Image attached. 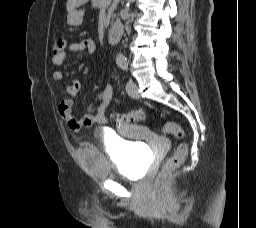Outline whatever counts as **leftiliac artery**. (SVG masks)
<instances>
[{"mask_svg":"<svg viewBox=\"0 0 256 228\" xmlns=\"http://www.w3.org/2000/svg\"><path fill=\"white\" fill-rule=\"evenodd\" d=\"M121 67L124 69V70H127L128 69V64L127 63H124L121 65Z\"/></svg>","mask_w":256,"mask_h":228,"instance_id":"obj_1","label":"left iliac artery"}]
</instances>
